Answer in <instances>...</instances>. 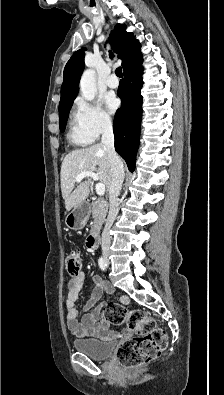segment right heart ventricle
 <instances>
[{
	"mask_svg": "<svg viewBox=\"0 0 224 395\" xmlns=\"http://www.w3.org/2000/svg\"><path fill=\"white\" fill-rule=\"evenodd\" d=\"M68 138L72 143L78 146H86L92 142V139L79 130L76 122L71 124Z\"/></svg>",
	"mask_w": 224,
	"mask_h": 395,
	"instance_id": "obj_1",
	"label": "right heart ventricle"
}]
</instances>
